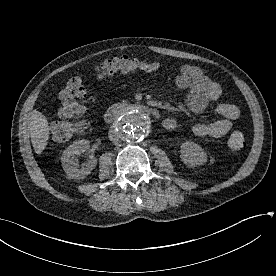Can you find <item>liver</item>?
<instances>
[{
    "label": "liver",
    "instance_id": "liver-1",
    "mask_svg": "<svg viewBox=\"0 0 276 276\" xmlns=\"http://www.w3.org/2000/svg\"><path fill=\"white\" fill-rule=\"evenodd\" d=\"M28 129L35 152L41 154L49 139V123L45 115L34 110L29 118Z\"/></svg>",
    "mask_w": 276,
    "mask_h": 276
}]
</instances>
